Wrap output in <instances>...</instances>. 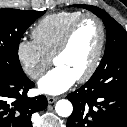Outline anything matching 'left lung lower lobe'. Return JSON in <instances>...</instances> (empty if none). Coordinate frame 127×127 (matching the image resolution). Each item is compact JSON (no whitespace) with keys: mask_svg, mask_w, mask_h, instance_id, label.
Segmentation results:
<instances>
[{"mask_svg":"<svg viewBox=\"0 0 127 127\" xmlns=\"http://www.w3.org/2000/svg\"><path fill=\"white\" fill-rule=\"evenodd\" d=\"M68 99L73 112L67 127H127V57L95 71Z\"/></svg>","mask_w":127,"mask_h":127,"instance_id":"obj_1","label":"left lung lower lobe"}]
</instances>
